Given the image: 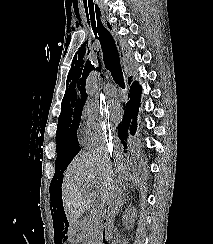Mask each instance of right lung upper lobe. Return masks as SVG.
<instances>
[{"mask_svg":"<svg viewBox=\"0 0 213 244\" xmlns=\"http://www.w3.org/2000/svg\"><path fill=\"white\" fill-rule=\"evenodd\" d=\"M93 69L88 61L81 60L71 66L67 80L70 82L69 90L67 89L61 104V112L81 107L84 105L87 94L85 82L88 73Z\"/></svg>","mask_w":213,"mask_h":244,"instance_id":"cb5924a9","label":"right lung upper lobe"}]
</instances>
